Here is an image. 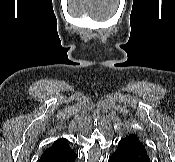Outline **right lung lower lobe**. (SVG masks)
<instances>
[{"label": "right lung lower lobe", "mask_w": 175, "mask_h": 162, "mask_svg": "<svg viewBox=\"0 0 175 162\" xmlns=\"http://www.w3.org/2000/svg\"><path fill=\"white\" fill-rule=\"evenodd\" d=\"M77 154L71 147L45 151L39 162H74Z\"/></svg>", "instance_id": "1"}]
</instances>
